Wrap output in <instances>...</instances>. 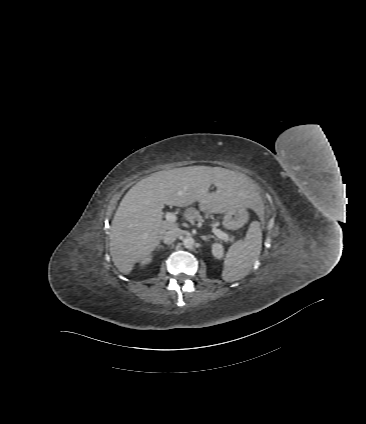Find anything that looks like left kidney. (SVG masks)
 Here are the masks:
<instances>
[{"mask_svg":"<svg viewBox=\"0 0 366 424\" xmlns=\"http://www.w3.org/2000/svg\"><path fill=\"white\" fill-rule=\"evenodd\" d=\"M212 253L217 259H222L224 255L223 246L219 243H214L212 245Z\"/></svg>","mask_w":366,"mask_h":424,"instance_id":"5707ae66","label":"left kidney"}]
</instances>
